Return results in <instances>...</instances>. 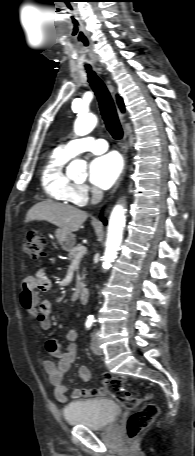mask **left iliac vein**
I'll list each match as a JSON object with an SVG mask.
<instances>
[{"mask_svg": "<svg viewBox=\"0 0 195 456\" xmlns=\"http://www.w3.org/2000/svg\"><path fill=\"white\" fill-rule=\"evenodd\" d=\"M91 350L96 355H101L102 354V350L99 347L98 343L96 342L94 334H93L92 342H91Z\"/></svg>", "mask_w": 195, "mask_h": 456, "instance_id": "4c4485c4", "label": "left iliac vein"}]
</instances>
